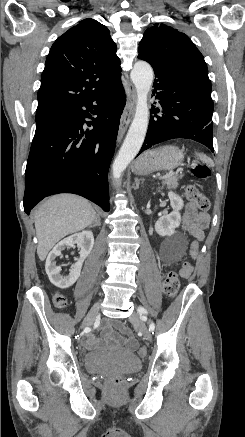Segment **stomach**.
I'll return each mask as SVG.
<instances>
[{"mask_svg": "<svg viewBox=\"0 0 245 437\" xmlns=\"http://www.w3.org/2000/svg\"><path fill=\"white\" fill-rule=\"evenodd\" d=\"M184 155L181 149L166 145L141 155L134 163L133 171L147 175L160 170H171L181 165Z\"/></svg>", "mask_w": 245, "mask_h": 437, "instance_id": "obj_1", "label": "stomach"}]
</instances>
